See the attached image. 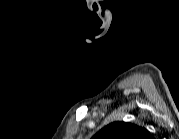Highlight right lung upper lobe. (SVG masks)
I'll return each mask as SVG.
<instances>
[{"mask_svg": "<svg viewBox=\"0 0 179 139\" xmlns=\"http://www.w3.org/2000/svg\"><path fill=\"white\" fill-rule=\"evenodd\" d=\"M150 132L144 127H140L128 122H113L97 134L93 139H149Z\"/></svg>", "mask_w": 179, "mask_h": 139, "instance_id": "obj_1", "label": "right lung upper lobe"}]
</instances>
